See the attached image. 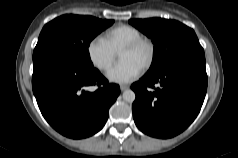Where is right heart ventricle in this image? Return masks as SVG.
Instances as JSON below:
<instances>
[{
    "label": "right heart ventricle",
    "instance_id": "right-heart-ventricle-1",
    "mask_svg": "<svg viewBox=\"0 0 238 158\" xmlns=\"http://www.w3.org/2000/svg\"><path fill=\"white\" fill-rule=\"evenodd\" d=\"M142 36L140 30L133 26L118 25L109 29L105 33L104 39L118 53L126 44Z\"/></svg>",
    "mask_w": 238,
    "mask_h": 158
}]
</instances>
